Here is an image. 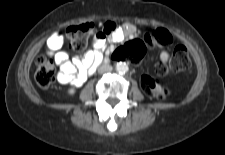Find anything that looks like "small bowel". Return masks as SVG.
Masks as SVG:
<instances>
[{
  "mask_svg": "<svg viewBox=\"0 0 225 155\" xmlns=\"http://www.w3.org/2000/svg\"><path fill=\"white\" fill-rule=\"evenodd\" d=\"M132 32V27H117L113 22H107L103 29L97 32L93 39V51L86 52L82 57L69 58V55L63 51V38L59 33L52 34L46 43L47 51L59 66L58 81L62 84H69L73 87H80L91 75L98 62L101 60V51L104 49L106 42L120 41L126 34ZM160 61L166 64L169 59V53L163 50L160 53Z\"/></svg>",
  "mask_w": 225,
  "mask_h": 155,
  "instance_id": "1",
  "label": "small bowel"
}]
</instances>
